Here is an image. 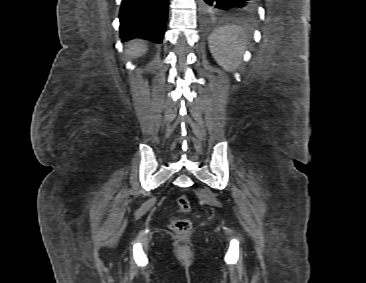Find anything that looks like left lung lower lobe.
<instances>
[{
    "label": "left lung lower lobe",
    "mask_w": 366,
    "mask_h": 283,
    "mask_svg": "<svg viewBox=\"0 0 366 283\" xmlns=\"http://www.w3.org/2000/svg\"><path fill=\"white\" fill-rule=\"evenodd\" d=\"M200 9L207 16L229 15L236 11H253L258 0H199Z\"/></svg>",
    "instance_id": "1"
}]
</instances>
